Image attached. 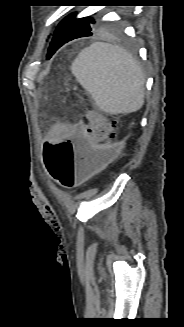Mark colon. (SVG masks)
<instances>
[{
  "mask_svg": "<svg viewBox=\"0 0 184 327\" xmlns=\"http://www.w3.org/2000/svg\"><path fill=\"white\" fill-rule=\"evenodd\" d=\"M88 124H81L76 142L70 139L48 141L43 157L50 175L64 188L84 183L92 174L106 167L118 151L113 144L119 121L95 111L88 113Z\"/></svg>",
  "mask_w": 184,
  "mask_h": 327,
  "instance_id": "colon-1",
  "label": "colon"
}]
</instances>
